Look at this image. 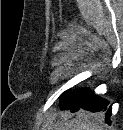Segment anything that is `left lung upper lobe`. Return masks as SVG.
<instances>
[{
  "label": "left lung upper lobe",
  "mask_w": 123,
  "mask_h": 130,
  "mask_svg": "<svg viewBox=\"0 0 123 130\" xmlns=\"http://www.w3.org/2000/svg\"><path fill=\"white\" fill-rule=\"evenodd\" d=\"M82 94L70 93V91H65L60 96V106L65 108H73L80 103Z\"/></svg>",
  "instance_id": "1"
}]
</instances>
